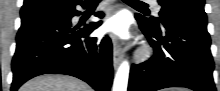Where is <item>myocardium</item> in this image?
<instances>
[{
    "label": "myocardium",
    "mask_w": 220,
    "mask_h": 91,
    "mask_svg": "<svg viewBox=\"0 0 220 91\" xmlns=\"http://www.w3.org/2000/svg\"><path fill=\"white\" fill-rule=\"evenodd\" d=\"M149 56H150V50L148 47L142 48L138 53V58L142 61L148 59Z\"/></svg>",
    "instance_id": "f54148a6"
}]
</instances>
